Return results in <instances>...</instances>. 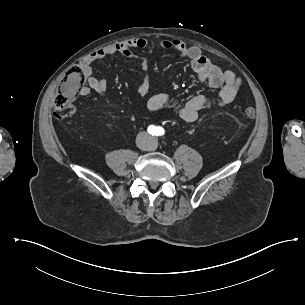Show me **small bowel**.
<instances>
[{
  "instance_id": "obj_1",
  "label": "small bowel",
  "mask_w": 305,
  "mask_h": 305,
  "mask_svg": "<svg viewBox=\"0 0 305 305\" xmlns=\"http://www.w3.org/2000/svg\"><path fill=\"white\" fill-rule=\"evenodd\" d=\"M148 40L146 38H132L126 41L95 50L85 56L80 62L81 70L85 85L80 89L81 96H87L93 90L100 96H104L108 90V82L105 79H98L94 76L92 64L96 61L104 59L114 54H120L128 58L139 61L143 72V79L137 89L140 96H146L150 88V62L145 57H140L134 53L135 49H143L147 47ZM157 50H174L191 62V67L197 78L206 82L213 88H220V92L216 101L205 96H195L190 98L178 110L179 117L187 122L193 123L197 121L201 111L211 108L213 105L224 108L229 106L236 97L240 79L231 71L222 70L205 57L197 46H189L181 40H166L156 44ZM172 75L166 77L161 82V90L149 97L146 106L148 110L155 111L161 108H172L175 101L168 92V85Z\"/></svg>"
}]
</instances>
